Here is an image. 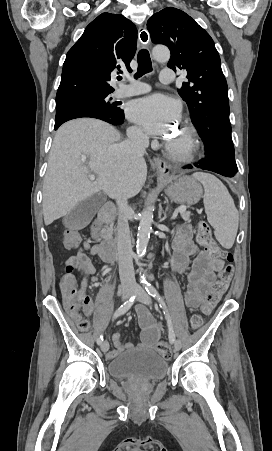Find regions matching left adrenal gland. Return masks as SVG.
<instances>
[{"label": "left adrenal gland", "instance_id": "1", "mask_svg": "<svg viewBox=\"0 0 272 451\" xmlns=\"http://www.w3.org/2000/svg\"><path fill=\"white\" fill-rule=\"evenodd\" d=\"M168 208H166V212H167ZM165 218H167L166 214H164V218L163 220H165Z\"/></svg>", "mask_w": 272, "mask_h": 451}]
</instances>
